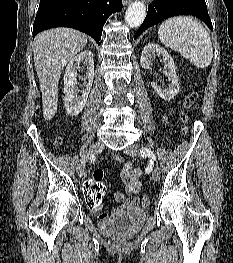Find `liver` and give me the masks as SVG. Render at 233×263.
<instances>
[{
    "label": "liver",
    "mask_w": 233,
    "mask_h": 263,
    "mask_svg": "<svg viewBox=\"0 0 233 263\" xmlns=\"http://www.w3.org/2000/svg\"><path fill=\"white\" fill-rule=\"evenodd\" d=\"M86 44V35L71 28H53L35 37L34 64L42 93L45 120H51L57 112L58 83L63 67Z\"/></svg>",
    "instance_id": "liver-1"
}]
</instances>
